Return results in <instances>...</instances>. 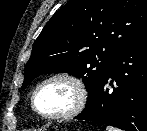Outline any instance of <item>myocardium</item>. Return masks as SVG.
<instances>
[{
    "mask_svg": "<svg viewBox=\"0 0 147 131\" xmlns=\"http://www.w3.org/2000/svg\"><path fill=\"white\" fill-rule=\"evenodd\" d=\"M53 80H65L71 83L76 90L77 99H76L74 106L69 111L65 113H61V114L48 115V114L42 113L37 108L36 95L39 89L43 85ZM88 99H89L88 88L86 86V83L81 77H79L76 74L70 73V72H59V73H54V74H51L45 77L35 86V88L33 89L31 93V107L38 116H40L41 118L45 120H50V121L67 120L81 113L83 109L86 107Z\"/></svg>",
    "mask_w": 147,
    "mask_h": 131,
    "instance_id": "myocardium-1",
    "label": "myocardium"
}]
</instances>
